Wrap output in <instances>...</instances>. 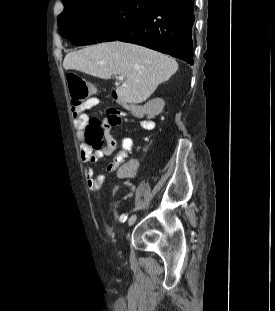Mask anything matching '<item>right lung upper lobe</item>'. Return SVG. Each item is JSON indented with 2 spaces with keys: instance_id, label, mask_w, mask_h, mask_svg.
<instances>
[{
  "instance_id": "1",
  "label": "right lung upper lobe",
  "mask_w": 275,
  "mask_h": 311,
  "mask_svg": "<svg viewBox=\"0 0 275 311\" xmlns=\"http://www.w3.org/2000/svg\"><path fill=\"white\" fill-rule=\"evenodd\" d=\"M62 1H63V4H67L68 2L76 1V0H62Z\"/></svg>"
}]
</instances>
